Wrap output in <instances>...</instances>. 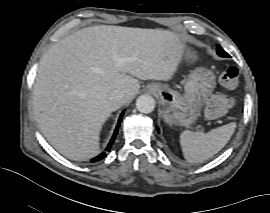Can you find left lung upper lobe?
<instances>
[{"mask_svg": "<svg viewBox=\"0 0 270 213\" xmlns=\"http://www.w3.org/2000/svg\"><path fill=\"white\" fill-rule=\"evenodd\" d=\"M217 53L221 57H229L228 53H226L221 46H217Z\"/></svg>", "mask_w": 270, "mask_h": 213, "instance_id": "obj_1", "label": "left lung upper lobe"}]
</instances>
